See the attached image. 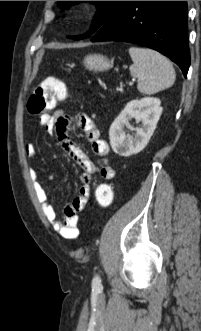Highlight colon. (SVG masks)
I'll use <instances>...</instances> for the list:
<instances>
[{
	"instance_id": "5ec220e1",
	"label": "colon",
	"mask_w": 201,
	"mask_h": 331,
	"mask_svg": "<svg viewBox=\"0 0 201 331\" xmlns=\"http://www.w3.org/2000/svg\"><path fill=\"white\" fill-rule=\"evenodd\" d=\"M65 84L54 77L42 81L31 94L27 108L33 115L44 114L67 97ZM95 199L101 209H108L113 202V189L108 183H100L96 187Z\"/></svg>"
}]
</instances>
